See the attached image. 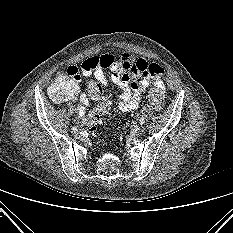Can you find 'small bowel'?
Instances as JSON below:
<instances>
[{
    "mask_svg": "<svg viewBox=\"0 0 233 233\" xmlns=\"http://www.w3.org/2000/svg\"><path fill=\"white\" fill-rule=\"evenodd\" d=\"M105 68L112 72L111 79L120 90L116 98L122 112L134 110L139 106L141 96L151 81L163 88L161 77L164 71L155 63H149L142 58L135 59L128 53H122L119 57L111 53L90 57L81 64L80 68L71 65L64 71L71 76L74 89L73 95L67 100H79L80 121H83L85 106L90 102V98L80 91V74L84 76L93 74L99 83L107 85Z\"/></svg>",
    "mask_w": 233,
    "mask_h": 233,
    "instance_id": "1",
    "label": "small bowel"
}]
</instances>
